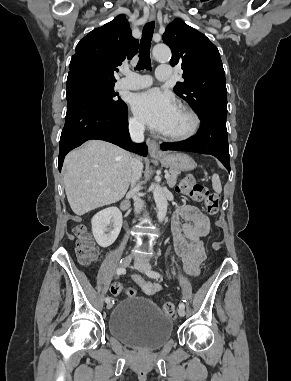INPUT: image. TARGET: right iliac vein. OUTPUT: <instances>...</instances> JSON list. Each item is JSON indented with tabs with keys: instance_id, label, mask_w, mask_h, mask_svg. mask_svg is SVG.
Masks as SVG:
<instances>
[{
	"instance_id": "1",
	"label": "right iliac vein",
	"mask_w": 291,
	"mask_h": 381,
	"mask_svg": "<svg viewBox=\"0 0 291 381\" xmlns=\"http://www.w3.org/2000/svg\"><path fill=\"white\" fill-rule=\"evenodd\" d=\"M131 260H132V257L131 256H127L125 257L121 263H120V266L123 267V268H126L130 265L131 263ZM113 307V302L112 301H109L107 303V309H111Z\"/></svg>"
}]
</instances>
